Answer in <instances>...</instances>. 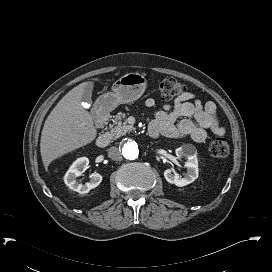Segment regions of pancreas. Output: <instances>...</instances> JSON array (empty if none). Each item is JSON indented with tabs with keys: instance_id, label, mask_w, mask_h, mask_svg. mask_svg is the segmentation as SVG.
I'll list each match as a JSON object with an SVG mask.
<instances>
[{
	"instance_id": "obj_1",
	"label": "pancreas",
	"mask_w": 272,
	"mask_h": 272,
	"mask_svg": "<svg viewBox=\"0 0 272 272\" xmlns=\"http://www.w3.org/2000/svg\"><path fill=\"white\" fill-rule=\"evenodd\" d=\"M125 117L126 115L122 112H119L115 116L113 120V125L110 126V131H109V134L112 139H117L120 136H123L126 133L134 130V127L132 125H128L127 121L124 120ZM122 120H124V122Z\"/></svg>"
}]
</instances>
